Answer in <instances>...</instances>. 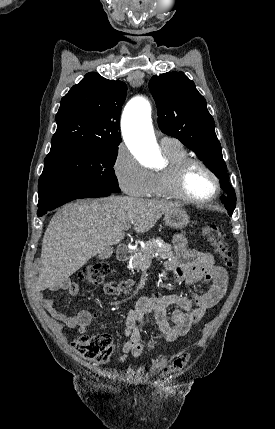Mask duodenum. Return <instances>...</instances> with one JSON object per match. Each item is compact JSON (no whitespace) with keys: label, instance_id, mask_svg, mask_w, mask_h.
<instances>
[{"label":"duodenum","instance_id":"obj_1","mask_svg":"<svg viewBox=\"0 0 275 429\" xmlns=\"http://www.w3.org/2000/svg\"><path fill=\"white\" fill-rule=\"evenodd\" d=\"M132 254V250L128 245H120L117 249V258L119 261H127Z\"/></svg>","mask_w":275,"mask_h":429}]
</instances>
